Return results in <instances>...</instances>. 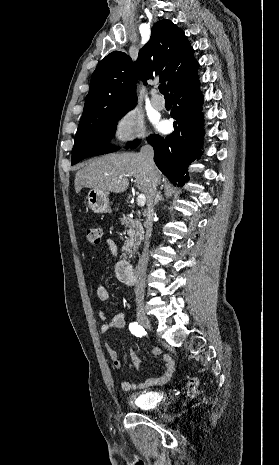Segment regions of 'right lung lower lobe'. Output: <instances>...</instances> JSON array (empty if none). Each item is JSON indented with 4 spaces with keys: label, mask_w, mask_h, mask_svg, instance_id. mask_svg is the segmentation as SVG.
Wrapping results in <instances>:
<instances>
[{
    "label": "right lung lower lobe",
    "mask_w": 279,
    "mask_h": 465,
    "mask_svg": "<svg viewBox=\"0 0 279 465\" xmlns=\"http://www.w3.org/2000/svg\"><path fill=\"white\" fill-rule=\"evenodd\" d=\"M171 96L174 132L166 138L153 135L148 142L154 148L157 167L174 185L183 186L188 179V166L197 158L203 144V96L198 76L186 80Z\"/></svg>",
    "instance_id": "obj_1"
}]
</instances>
